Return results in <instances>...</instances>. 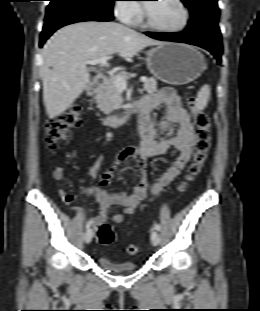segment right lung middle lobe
Segmentation results:
<instances>
[{"instance_id":"dd1d6c3e","label":"right lung middle lobe","mask_w":260,"mask_h":311,"mask_svg":"<svg viewBox=\"0 0 260 311\" xmlns=\"http://www.w3.org/2000/svg\"><path fill=\"white\" fill-rule=\"evenodd\" d=\"M75 1L81 2L104 13L112 14V6L115 0H75Z\"/></svg>"}]
</instances>
